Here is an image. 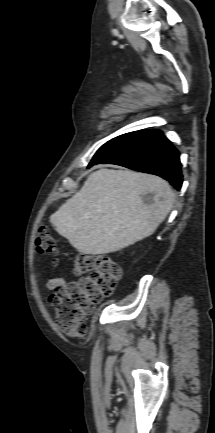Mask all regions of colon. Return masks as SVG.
Instances as JSON below:
<instances>
[{
	"label": "colon",
	"mask_w": 215,
	"mask_h": 433,
	"mask_svg": "<svg viewBox=\"0 0 215 433\" xmlns=\"http://www.w3.org/2000/svg\"><path fill=\"white\" fill-rule=\"evenodd\" d=\"M35 244L42 254L57 253L56 240L45 223L37 228ZM74 273L80 280L57 287L49 301L59 329L69 335L82 336L88 317L96 305L113 292L121 270L108 254H82L75 258Z\"/></svg>",
	"instance_id": "1"
}]
</instances>
